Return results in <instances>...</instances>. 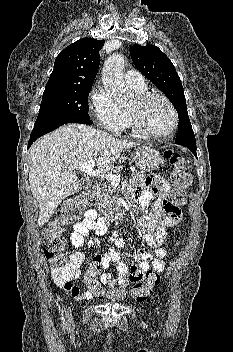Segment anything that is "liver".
<instances>
[{"instance_id": "1", "label": "liver", "mask_w": 233, "mask_h": 352, "mask_svg": "<svg viewBox=\"0 0 233 352\" xmlns=\"http://www.w3.org/2000/svg\"><path fill=\"white\" fill-rule=\"evenodd\" d=\"M136 145L83 124L64 125L36 141L29 153V182L39 203L38 225L42 227L62 200L80 190L74 172L80 164L94 161L97 170L105 173L124 149Z\"/></svg>"}]
</instances>
